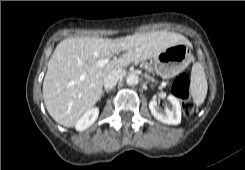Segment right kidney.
<instances>
[{
    "label": "right kidney",
    "instance_id": "right-kidney-1",
    "mask_svg": "<svg viewBox=\"0 0 245 170\" xmlns=\"http://www.w3.org/2000/svg\"><path fill=\"white\" fill-rule=\"evenodd\" d=\"M99 109L97 107L88 110L75 124L77 131H84L89 128L98 118Z\"/></svg>",
    "mask_w": 245,
    "mask_h": 170
}]
</instances>
